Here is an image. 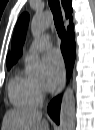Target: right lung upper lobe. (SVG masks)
I'll use <instances>...</instances> for the list:
<instances>
[{"label":"right lung upper lobe","instance_id":"obj_1","mask_svg":"<svg viewBox=\"0 0 95 130\" xmlns=\"http://www.w3.org/2000/svg\"><path fill=\"white\" fill-rule=\"evenodd\" d=\"M62 4L66 12V17L68 18L72 13L71 0H62ZM70 23L71 25L68 29L72 28V18L70 19ZM7 59H9V55Z\"/></svg>","mask_w":95,"mask_h":130}]
</instances>
